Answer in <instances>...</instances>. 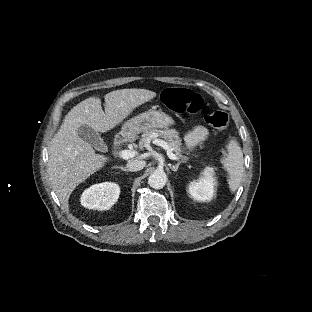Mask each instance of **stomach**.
<instances>
[{"label": "stomach", "mask_w": 312, "mask_h": 312, "mask_svg": "<svg viewBox=\"0 0 312 312\" xmlns=\"http://www.w3.org/2000/svg\"><path fill=\"white\" fill-rule=\"evenodd\" d=\"M175 122L172 117L160 110H149L127 120L120 134L124 138L134 139L137 134L155 128H167Z\"/></svg>", "instance_id": "1"}]
</instances>
